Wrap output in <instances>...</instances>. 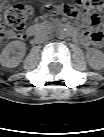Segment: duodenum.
Listing matches in <instances>:
<instances>
[{"label":"duodenum","mask_w":104,"mask_h":137,"mask_svg":"<svg viewBox=\"0 0 104 137\" xmlns=\"http://www.w3.org/2000/svg\"><path fill=\"white\" fill-rule=\"evenodd\" d=\"M41 31V27L38 26V25H35V26H32L31 28H29L26 33H25V36L26 37H32L38 33H40Z\"/></svg>","instance_id":"410a0bca"}]
</instances>
